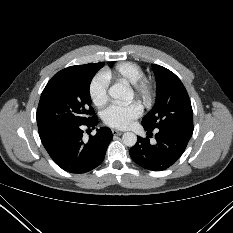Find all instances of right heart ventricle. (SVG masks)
<instances>
[{
    "label": "right heart ventricle",
    "mask_w": 233,
    "mask_h": 233,
    "mask_svg": "<svg viewBox=\"0 0 233 233\" xmlns=\"http://www.w3.org/2000/svg\"><path fill=\"white\" fill-rule=\"evenodd\" d=\"M103 73L109 80L112 77H116L132 85L144 76L142 68L133 62L118 63L113 70H104Z\"/></svg>",
    "instance_id": "1"
}]
</instances>
